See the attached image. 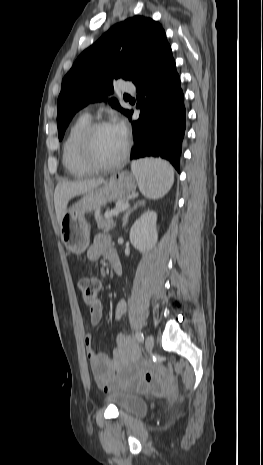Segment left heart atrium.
<instances>
[{"label": "left heart atrium", "mask_w": 263, "mask_h": 465, "mask_svg": "<svg viewBox=\"0 0 263 465\" xmlns=\"http://www.w3.org/2000/svg\"><path fill=\"white\" fill-rule=\"evenodd\" d=\"M115 129L118 131V133L126 140L127 138V127L124 122H118L116 125H114Z\"/></svg>", "instance_id": "1"}]
</instances>
